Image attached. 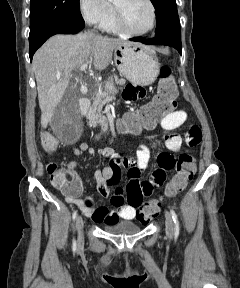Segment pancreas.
Returning a JSON list of instances; mask_svg holds the SVG:
<instances>
[{
	"label": "pancreas",
	"instance_id": "cf45deb5",
	"mask_svg": "<svg viewBox=\"0 0 240 288\" xmlns=\"http://www.w3.org/2000/svg\"><path fill=\"white\" fill-rule=\"evenodd\" d=\"M113 78L117 84H125V80L119 79L117 75L111 76V80H113ZM107 101H109V97H107L106 93L102 91L101 87H99V90L93 99V104L87 113V117L90 119H98V117L101 115L102 108Z\"/></svg>",
	"mask_w": 240,
	"mask_h": 288
}]
</instances>
